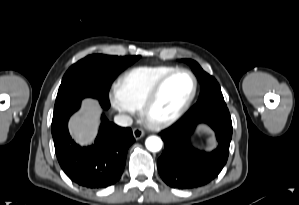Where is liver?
<instances>
[{"label":"liver","instance_id":"obj_1","mask_svg":"<svg viewBox=\"0 0 299 205\" xmlns=\"http://www.w3.org/2000/svg\"><path fill=\"white\" fill-rule=\"evenodd\" d=\"M82 103V110L69 121V130L76 143L87 145L97 135L101 109L96 99L86 98Z\"/></svg>","mask_w":299,"mask_h":205}]
</instances>
